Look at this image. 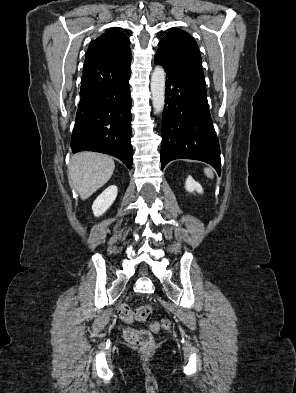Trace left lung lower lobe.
<instances>
[{
  "instance_id": "1",
  "label": "left lung lower lobe",
  "mask_w": 296,
  "mask_h": 393,
  "mask_svg": "<svg viewBox=\"0 0 296 393\" xmlns=\"http://www.w3.org/2000/svg\"><path fill=\"white\" fill-rule=\"evenodd\" d=\"M154 62L166 71L161 167L178 158L204 161L220 174V148L210 116L202 69Z\"/></svg>"
}]
</instances>
